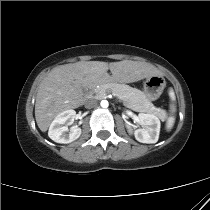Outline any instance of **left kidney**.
Listing matches in <instances>:
<instances>
[{"instance_id":"5707ae66","label":"left kidney","mask_w":210,"mask_h":210,"mask_svg":"<svg viewBox=\"0 0 210 210\" xmlns=\"http://www.w3.org/2000/svg\"><path fill=\"white\" fill-rule=\"evenodd\" d=\"M137 122L144 128L136 129L133 131L131 126L126 125L128 132H133L137 141L141 143H156L159 138L160 120L154 114L140 113L137 117Z\"/></svg>"}]
</instances>
